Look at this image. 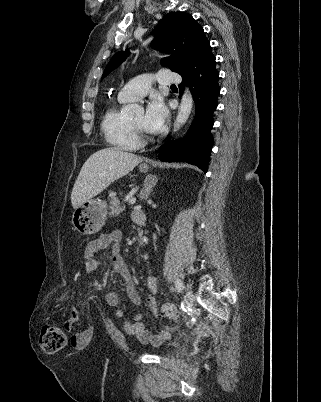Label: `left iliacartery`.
Returning a JSON list of instances; mask_svg holds the SVG:
<instances>
[{
	"instance_id": "left-iliac-artery-1",
	"label": "left iliac artery",
	"mask_w": 321,
	"mask_h": 402,
	"mask_svg": "<svg viewBox=\"0 0 321 402\" xmlns=\"http://www.w3.org/2000/svg\"><path fill=\"white\" fill-rule=\"evenodd\" d=\"M175 287H176V290L180 293L183 292V290H184V285L180 280L175 281Z\"/></svg>"
}]
</instances>
